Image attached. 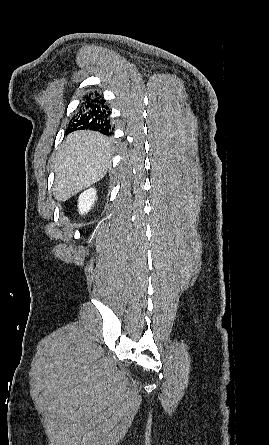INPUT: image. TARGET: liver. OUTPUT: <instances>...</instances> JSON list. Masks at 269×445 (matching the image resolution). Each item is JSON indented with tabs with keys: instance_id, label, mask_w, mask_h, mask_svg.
<instances>
[{
	"instance_id": "liver-1",
	"label": "liver",
	"mask_w": 269,
	"mask_h": 445,
	"mask_svg": "<svg viewBox=\"0 0 269 445\" xmlns=\"http://www.w3.org/2000/svg\"><path fill=\"white\" fill-rule=\"evenodd\" d=\"M111 165V142L98 132L77 131L67 136L55 163L53 194L66 201L102 179Z\"/></svg>"
}]
</instances>
